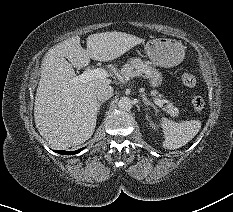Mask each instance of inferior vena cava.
Instances as JSON below:
<instances>
[{"label": "inferior vena cava", "mask_w": 233, "mask_h": 212, "mask_svg": "<svg viewBox=\"0 0 233 212\" xmlns=\"http://www.w3.org/2000/svg\"><path fill=\"white\" fill-rule=\"evenodd\" d=\"M113 92L112 86L105 84L97 86L94 90L95 97L100 101L110 99L113 96Z\"/></svg>", "instance_id": "602c4592"}]
</instances>
